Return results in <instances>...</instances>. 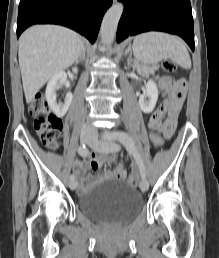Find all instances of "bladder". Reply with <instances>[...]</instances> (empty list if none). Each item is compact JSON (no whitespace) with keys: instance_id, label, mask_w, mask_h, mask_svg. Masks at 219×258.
<instances>
[{"instance_id":"bladder-1","label":"bladder","mask_w":219,"mask_h":258,"mask_svg":"<svg viewBox=\"0 0 219 258\" xmlns=\"http://www.w3.org/2000/svg\"><path fill=\"white\" fill-rule=\"evenodd\" d=\"M82 213L102 221L124 223L143 208V198L135 189L119 180L106 179L78 198Z\"/></svg>"}]
</instances>
